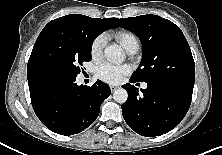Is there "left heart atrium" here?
I'll return each mask as SVG.
<instances>
[{
	"label": "left heart atrium",
	"instance_id": "39dd6f15",
	"mask_svg": "<svg viewBox=\"0 0 222 155\" xmlns=\"http://www.w3.org/2000/svg\"><path fill=\"white\" fill-rule=\"evenodd\" d=\"M129 65H116L109 62L100 64L97 68V77L110 84L119 83L122 78L130 72Z\"/></svg>",
	"mask_w": 222,
	"mask_h": 155
}]
</instances>
